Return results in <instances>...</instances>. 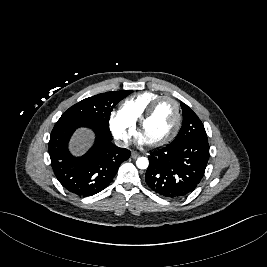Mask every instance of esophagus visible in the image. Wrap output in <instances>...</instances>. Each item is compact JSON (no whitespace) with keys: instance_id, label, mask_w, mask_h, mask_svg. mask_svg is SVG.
I'll return each mask as SVG.
<instances>
[{"instance_id":"1","label":"esophagus","mask_w":267,"mask_h":267,"mask_svg":"<svg viewBox=\"0 0 267 267\" xmlns=\"http://www.w3.org/2000/svg\"><path fill=\"white\" fill-rule=\"evenodd\" d=\"M140 156V154L138 153V152H136V151H133L132 153H131V157L133 158V159H136V158H138Z\"/></svg>"}]
</instances>
